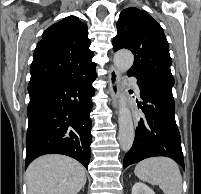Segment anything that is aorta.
<instances>
[{
	"mask_svg": "<svg viewBox=\"0 0 201 194\" xmlns=\"http://www.w3.org/2000/svg\"><path fill=\"white\" fill-rule=\"evenodd\" d=\"M133 54L128 50H120L114 55V65L119 73L127 72L133 65ZM119 134L118 139L123 151L127 152L134 141V126L131 111L128 107L126 89L121 87L119 94Z\"/></svg>",
	"mask_w": 201,
	"mask_h": 194,
	"instance_id": "1",
	"label": "aorta"
}]
</instances>
